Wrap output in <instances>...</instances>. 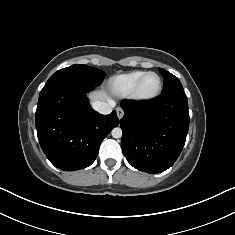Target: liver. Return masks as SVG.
I'll return each instance as SVG.
<instances>
[{
    "instance_id": "liver-1",
    "label": "liver",
    "mask_w": 235,
    "mask_h": 235,
    "mask_svg": "<svg viewBox=\"0 0 235 235\" xmlns=\"http://www.w3.org/2000/svg\"><path fill=\"white\" fill-rule=\"evenodd\" d=\"M90 101L95 102V101H101L104 102L105 100H108V94L104 90H98L90 93L88 95Z\"/></svg>"
}]
</instances>
